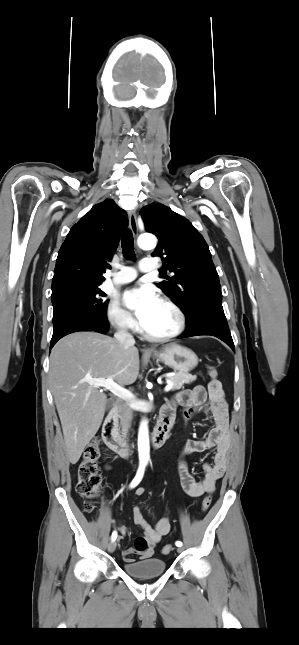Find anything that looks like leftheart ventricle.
Returning <instances> with one entry per match:
<instances>
[{
  "mask_svg": "<svg viewBox=\"0 0 299 645\" xmlns=\"http://www.w3.org/2000/svg\"><path fill=\"white\" fill-rule=\"evenodd\" d=\"M176 325L174 313L160 302L143 328L151 334H165L171 332Z\"/></svg>",
  "mask_w": 299,
  "mask_h": 645,
  "instance_id": "left-heart-ventricle-1",
  "label": "left heart ventricle"
}]
</instances>
